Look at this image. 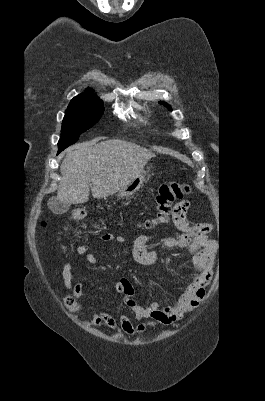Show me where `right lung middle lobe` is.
Masks as SVG:
<instances>
[{
    "label": "right lung middle lobe",
    "instance_id": "1",
    "mask_svg": "<svg viewBox=\"0 0 265 401\" xmlns=\"http://www.w3.org/2000/svg\"><path fill=\"white\" fill-rule=\"evenodd\" d=\"M103 111V102L68 106L62 122L58 153L74 144L81 133L95 125Z\"/></svg>",
    "mask_w": 265,
    "mask_h": 401
}]
</instances>
